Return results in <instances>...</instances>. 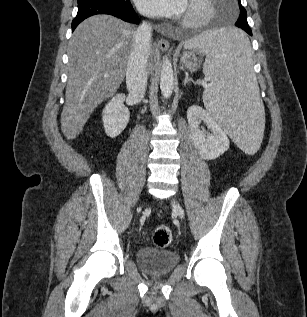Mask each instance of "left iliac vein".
<instances>
[{"label": "left iliac vein", "mask_w": 307, "mask_h": 317, "mask_svg": "<svg viewBox=\"0 0 307 317\" xmlns=\"http://www.w3.org/2000/svg\"><path fill=\"white\" fill-rule=\"evenodd\" d=\"M172 207L174 212L179 216L180 219L184 218V210L183 208L180 206V204L177 201H172Z\"/></svg>", "instance_id": "1"}]
</instances>
